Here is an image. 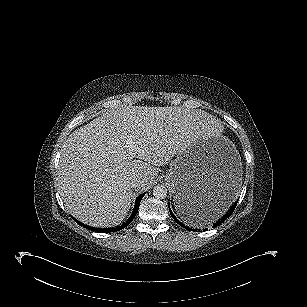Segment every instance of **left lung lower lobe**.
Returning <instances> with one entry per match:
<instances>
[{
	"label": "left lung lower lobe",
	"instance_id": "1",
	"mask_svg": "<svg viewBox=\"0 0 307 307\" xmlns=\"http://www.w3.org/2000/svg\"><path fill=\"white\" fill-rule=\"evenodd\" d=\"M235 207H236V204L229 210V212H228L227 214H225V215L222 217V219H220L219 221H217V222L213 225V227L218 226V225L221 224L224 220H226V219L233 213ZM169 211H170V214H171V216L173 217V219L177 222V224H179L180 226H182L183 228H185V229H187V230H192L191 228H189V227L185 226L184 224H182V223L175 217V215L172 213V211H171V209H170V206H169ZM205 231H206V229H205Z\"/></svg>",
	"mask_w": 307,
	"mask_h": 307
}]
</instances>
